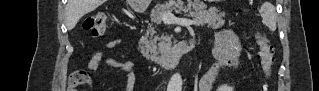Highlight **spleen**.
Listing matches in <instances>:
<instances>
[{"label": "spleen", "mask_w": 319, "mask_h": 91, "mask_svg": "<svg viewBox=\"0 0 319 91\" xmlns=\"http://www.w3.org/2000/svg\"><path fill=\"white\" fill-rule=\"evenodd\" d=\"M259 13L262 17V23L269 28L270 31L276 30L277 14L275 7L270 2H265Z\"/></svg>", "instance_id": "1"}]
</instances>
